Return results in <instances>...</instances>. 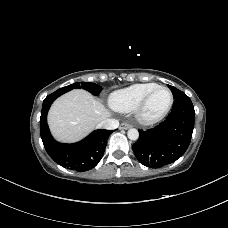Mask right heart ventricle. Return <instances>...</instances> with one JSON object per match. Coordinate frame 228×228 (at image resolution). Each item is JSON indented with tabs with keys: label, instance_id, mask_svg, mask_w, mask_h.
<instances>
[{
	"label": "right heart ventricle",
	"instance_id": "1",
	"mask_svg": "<svg viewBox=\"0 0 228 228\" xmlns=\"http://www.w3.org/2000/svg\"><path fill=\"white\" fill-rule=\"evenodd\" d=\"M159 84L154 82L139 83L114 92L110 96L111 106L123 113H129L136 109L144 96Z\"/></svg>",
	"mask_w": 228,
	"mask_h": 228
}]
</instances>
